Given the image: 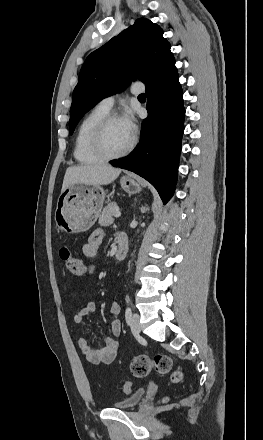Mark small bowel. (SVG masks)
<instances>
[{
  "mask_svg": "<svg viewBox=\"0 0 263 440\" xmlns=\"http://www.w3.org/2000/svg\"><path fill=\"white\" fill-rule=\"evenodd\" d=\"M119 238H125L123 236H119ZM105 239V233L102 230L94 231L86 241V243L82 247L83 255L88 259H95L99 254L100 246L102 245ZM94 272V266H90L88 273L92 275ZM96 309V305L91 300H86L83 303L81 309L75 314L74 320L78 324H82L85 318L92 313H94ZM120 313V305L115 300L111 304L110 307V315H111V333L112 336H106L103 338L102 343L103 346L101 349H96L92 345L91 338L88 336H83L78 340V345L86 359L93 364H108L111 363L119 350V343L117 341V337L121 333V322L118 319V315Z\"/></svg>",
  "mask_w": 263,
  "mask_h": 440,
  "instance_id": "small-bowel-1",
  "label": "small bowel"
}]
</instances>
